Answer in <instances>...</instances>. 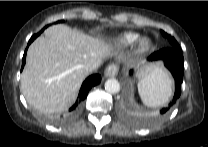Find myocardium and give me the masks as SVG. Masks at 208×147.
Wrapping results in <instances>:
<instances>
[{
	"mask_svg": "<svg viewBox=\"0 0 208 147\" xmlns=\"http://www.w3.org/2000/svg\"><path fill=\"white\" fill-rule=\"evenodd\" d=\"M152 48V41L148 37L139 38L135 44V51L144 54Z\"/></svg>",
	"mask_w": 208,
	"mask_h": 147,
	"instance_id": "f54148a6",
	"label": "myocardium"
}]
</instances>
